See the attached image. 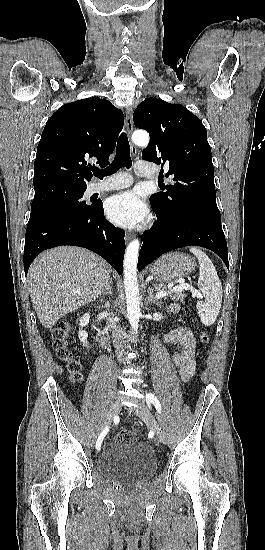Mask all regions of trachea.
Segmentation results:
<instances>
[{"instance_id": "obj_1", "label": "trachea", "mask_w": 265, "mask_h": 550, "mask_svg": "<svg viewBox=\"0 0 265 550\" xmlns=\"http://www.w3.org/2000/svg\"><path fill=\"white\" fill-rule=\"evenodd\" d=\"M132 160L130 158V146L126 133H122L119 137L116 149V157L114 161L105 169H92L93 174L100 179L104 176H109L117 172L121 167L129 169L131 167Z\"/></svg>"}]
</instances>
